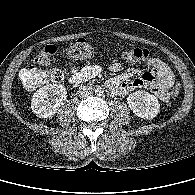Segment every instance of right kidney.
I'll list each match as a JSON object with an SVG mask.
<instances>
[{"mask_svg":"<svg viewBox=\"0 0 195 195\" xmlns=\"http://www.w3.org/2000/svg\"><path fill=\"white\" fill-rule=\"evenodd\" d=\"M67 98V90L60 84H49L38 89L32 96L31 109L39 118H48L57 112Z\"/></svg>","mask_w":195,"mask_h":195,"instance_id":"obj_1","label":"right kidney"}]
</instances>
